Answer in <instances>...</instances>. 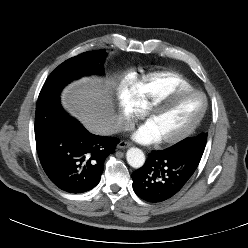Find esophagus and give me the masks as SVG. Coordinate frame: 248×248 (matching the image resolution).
Returning a JSON list of instances; mask_svg holds the SVG:
<instances>
[{
	"label": "esophagus",
	"mask_w": 248,
	"mask_h": 248,
	"mask_svg": "<svg viewBox=\"0 0 248 248\" xmlns=\"http://www.w3.org/2000/svg\"><path fill=\"white\" fill-rule=\"evenodd\" d=\"M130 146H131V143L127 142V141H120L118 144L119 149H125V148H128Z\"/></svg>",
	"instance_id": "34e87169"
}]
</instances>
